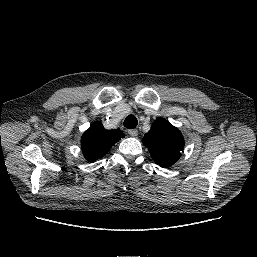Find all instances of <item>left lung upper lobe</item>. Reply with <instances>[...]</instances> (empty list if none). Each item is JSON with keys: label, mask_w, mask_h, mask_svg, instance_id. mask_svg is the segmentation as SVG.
Here are the masks:
<instances>
[{"label": "left lung upper lobe", "mask_w": 257, "mask_h": 257, "mask_svg": "<svg viewBox=\"0 0 257 257\" xmlns=\"http://www.w3.org/2000/svg\"><path fill=\"white\" fill-rule=\"evenodd\" d=\"M155 162L168 168L176 163L184 148V138L178 128L163 118L157 119L142 140Z\"/></svg>", "instance_id": "5c2ea615"}]
</instances>
